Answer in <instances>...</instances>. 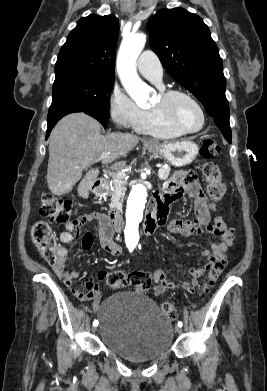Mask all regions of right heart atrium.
Wrapping results in <instances>:
<instances>
[{"instance_id": "right-heart-atrium-1", "label": "right heart atrium", "mask_w": 267, "mask_h": 391, "mask_svg": "<svg viewBox=\"0 0 267 391\" xmlns=\"http://www.w3.org/2000/svg\"><path fill=\"white\" fill-rule=\"evenodd\" d=\"M109 115L121 128L136 129L145 117V111L122 90L114 88L109 101Z\"/></svg>"}]
</instances>
